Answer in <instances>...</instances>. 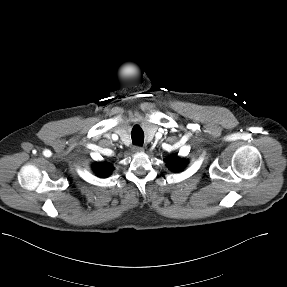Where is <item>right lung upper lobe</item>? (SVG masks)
Wrapping results in <instances>:
<instances>
[{
  "label": "right lung upper lobe",
  "instance_id": "right-lung-upper-lobe-1",
  "mask_svg": "<svg viewBox=\"0 0 287 287\" xmlns=\"http://www.w3.org/2000/svg\"><path fill=\"white\" fill-rule=\"evenodd\" d=\"M93 168L100 177H107L113 170V166L107 162H99Z\"/></svg>",
  "mask_w": 287,
  "mask_h": 287
}]
</instances>
